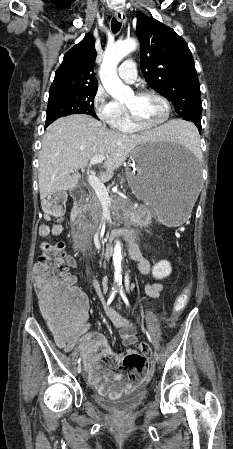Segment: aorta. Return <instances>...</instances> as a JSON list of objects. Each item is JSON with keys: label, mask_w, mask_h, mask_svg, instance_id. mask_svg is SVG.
<instances>
[{"label": "aorta", "mask_w": 233, "mask_h": 449, "mask_svg": "<svg viewBox=\"0 0 233 449\" xmlns=\"http://www.w3.org/2000/svg\"><path fill=\"white\" fill-rule=\"evenodd\" d=\"M137 48V42L134 39H127L116 42L105 51L103 62L100 67L99 76L105 90L116 100H123L132 94L130 87L124 85L119 79L116 68L118 63L129 53ZM121 242L116 241L113 254V264L115 269V278L121 277Z\"/></svg>", "instance_id": "aorta-1"}]
</instances>
